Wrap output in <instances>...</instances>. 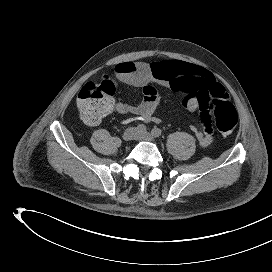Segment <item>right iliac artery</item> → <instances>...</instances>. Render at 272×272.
I'll list each match as a JSON object with an SVG mask.
<instances>
[{
	"label": "right iliac artery",
	"instance_id": "right-iliac-artery-1",
	"mask_svg": "<svg viewBox=\"0 0 272 272\" xmlns=\"http://www.w3.org/2000/svg\"><path fill=\"white\" fill-rule=\"evenodd\" d=\"M137 131L138 132H146V126L144 124H139L137 127H136Z\"/></svg>",
	"mask_w": 272,
	"mask_h": 272
}]
</instances>
